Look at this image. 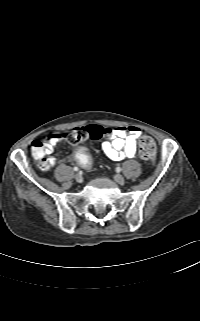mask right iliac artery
<instances>
[{
  "instance_id": "1",
  "label": "right iliac artery",
  "mask_w": 200,
  "mask_h": 321,
  "mask_svg": "<svg viewBox=\"0 0 200 321\" xmlns=\"http://www.w3.org/2000/svg\"><path fill=\"white\" fill-rule=\"evenodd\" d=\"M73 170H74V171H78L79 168H78V167H74Z\"/></svg>"
}]
</instances>
